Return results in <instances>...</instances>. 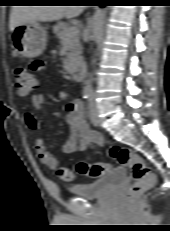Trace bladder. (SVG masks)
Wrapping results in <instances>:
<instances>
[{
  "instance_id": "31cf9c89",
  "label": "bladder",
  "mask_w": 170,
  "mask_h": 231,
  "mask_svg": "<svg viewBox=\"0 0 170 231\" xmlns=\"http://www.w3.org/2000/svg\"><path fill=\"white\" fill-rule=\"evenodd\" d=\"M126 180V170L124 168H115L93 182L74 185L70 190L75 196L83 199L101 198Z\"/></svg>"
}]
</instances>
